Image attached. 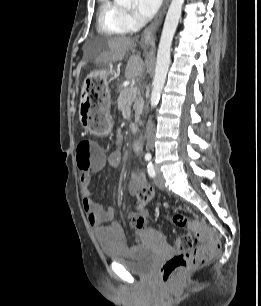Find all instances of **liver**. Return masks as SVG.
<instances>
[{
	"instance_id": "6515ba94",
	"label": "liver",
	"mask_w": 261,
	"mask_h": 306,
	"mask_svg": "<svg viewBox=\"0 0 261 306\" xmlns=\"http://www.w3.org/2000/svg\"><path fill=\"white\" fill-rule=\"evenodd\" d=\"M100 44L106 48V51L102 53L98 61L106 64L122 61L126 53L135 46L134 40L129 37H113ZM143 69L144 62L141 57L132 55L125 69V78L127 80L135 79L142 75Z\"/></svg>"
}]
</instances>
